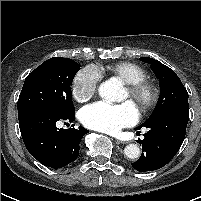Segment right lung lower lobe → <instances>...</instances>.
Listing matches in <instances>:
<instances>
[{
    "mask_svg": "<svg viewBox=\"0 0 201 201\" xmlns=\"http://www.w3.org/2000/svg\"><path fill=\"white\" fill-rule=\"evenodd\" d=\"M19 127L29 153L51 168H62L79 155V144L88 133L79 129H58L59 120L74 121V113L62 115L47 107H33L18 114Z\"/></svg>",
    "mask_w": 201,
    "mask_h": 201,
    "instance_id": "1",
    "label": "right lung lower lobe"
}]
</instances>
